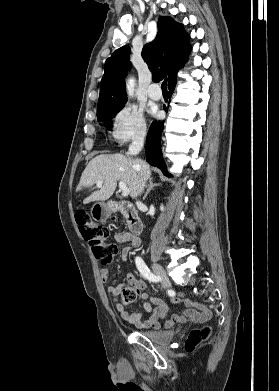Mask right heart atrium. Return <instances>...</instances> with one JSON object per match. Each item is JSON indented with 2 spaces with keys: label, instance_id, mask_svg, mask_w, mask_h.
Segmentation results:
<instances>
[{
  "label": "right heart atrium",
  "instance_id": "1",
  "mask_svg": "<svg viewBox=\"0 0 279 391\" xmlns=\"http://www.w3.org/2000/svg\"><path fill=\"white\" fill-rule=\"evenodd\" d=\"M146 132V120L140 108L127 104L118 109L112 118L111 135L121 144L141 138Z\"/></svg>",
  "mask_w": 279,
  "mask_h": 391
}]
</instances>
